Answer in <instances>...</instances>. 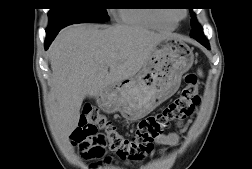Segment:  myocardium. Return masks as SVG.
Returning a JSON list of instances; mask_svg holds the SVG:
<instances>
[{"mask_svg":"<svg viewBox=\"0 0 252 169\" xmlns=\"http://www.w3.org/2000/svg\"><path fill=\"white\" fill-rule=\"evenodd\" d=\"M187 15V10H183L181 13L178 14H174L173 16H169L170 18H172L175 22L183 19L184 17H186Z\"/></svg>","mask_w":252,"mask_h":169,"instance_id":"f54148a6","label":"myocardium"}]
</instances>
